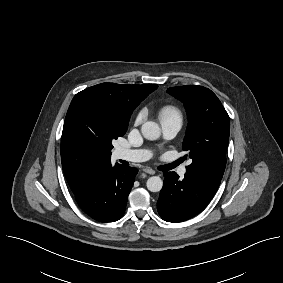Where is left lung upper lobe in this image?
Segmentation results:
<instances>
[{"label": "left lung upper lobe", "mask_w": 283, "mask_h": 283, "mask_svg": "<svg viewBox=\"0 0 283 283\" xmlns=\"http://www.w3.org/2000/svg\"><path fill=\"white\" fill-rule=\"evenodd\" d=\"M167 92L184 103L189 117L183 150L189 151L192 163L186 173L217 191L229 141L230 122L225 108L211 90L202 86L171 87Z\"/></svg>", "instance_id": "5c2ea615"}]
</instances>
